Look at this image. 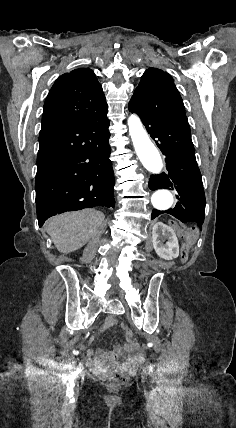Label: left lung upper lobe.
I'll list each match as a JSON object with an SVG mask.
<instances>
[{
  "label": "left lung upper lobe",
  "mask_w": 236,
  "mask_h": 428,
  "mask_svg": "<svg viewBox=\"0 0 236 428\" xmlns=\"http://www.w3.org/2000/svg\"><path fill=\"white\" fill-rule=\"evenodd\" d=\"M128 107L147 116L171 118L189 125L173 78L157 68L145 71Z\"/></svg>",
  "instance_id": "1"
}]
</instances>
